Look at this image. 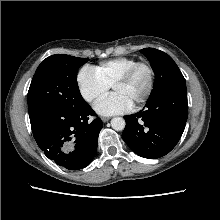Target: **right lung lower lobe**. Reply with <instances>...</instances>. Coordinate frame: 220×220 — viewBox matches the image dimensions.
<instances>
[{"mask_svg":"<svg viewBox=\"0 0 220 220\" xmlns=\"http://www.w3.org/2000/svg\"><path fill=\"white\" fill-rule=\"evenodd\" d=\"M89 116L97 115L88 104L75 111L53 108L30 117V123L38 146L49 159L78 170L93 160L103 127L99 117L90 122Z\"/></svg>","mask_w":220,"mask_h":220,"instance_id":"98d812e1","label":"right lung lower lobe"}]
</instances>
